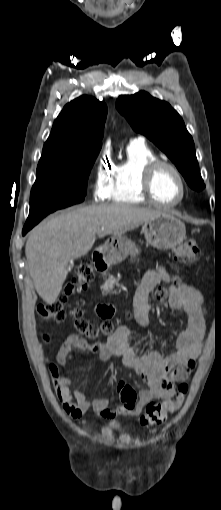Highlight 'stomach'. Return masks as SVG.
<instances>
[{
  "mask_svg": "<svg viewBox=\"0 0 221 510\" xmlns=\"http://www.w3.org/2000/svg\"><path fill=\"white\" fill-rule=\"evenodd\" d=\"M144 236L149 245L159 250H168L181 244L186 238L184 223L174 215L162 212L144 223ZM107 252L112 261L118 262L139 251L135 243L122 236H115L106 244Z\"/></svg>",
  "mask_w": 221,
  "mask_h": 510,
  "instance_id": "obj_1",
  "label": "stomach"
}]
</instances>
